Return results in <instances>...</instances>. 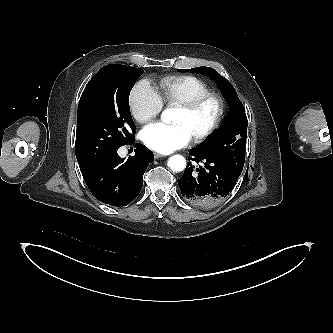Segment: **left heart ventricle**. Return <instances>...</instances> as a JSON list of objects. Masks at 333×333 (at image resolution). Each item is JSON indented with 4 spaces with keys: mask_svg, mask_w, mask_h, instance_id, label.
<instances>
[{
    "mask_svg": "<svg viewBox=\"0 0 333 333\" xmlns=\"http://www.w3.org/2000/svg\"><path fill=\"white\" fill-rule=\"evenodd\" d=\"M217 113V104L214 101H210L193 114H188L181 109H178L174 118V123L185 125L193 137L194 135L205 131L213 123Z\"/></svg>",
    "mask_w": 333,
    "mask_h": 333,
    "instance_id": "obj_1",
    "label": "left heart ventricle"
}]
</instances>
